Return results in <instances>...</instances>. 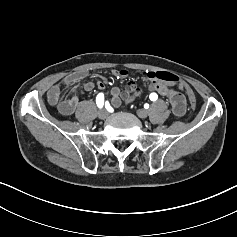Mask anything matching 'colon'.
<instances>
[{"label":"colon","instance_id":"colon-1","mask_svg":"<svg viewBox=\"0 0 237 237\" xmlns=\"http://www.w3.org/2000/svg\"><path fill=\"white\" fill-rule=\"evenodd\" d=\"M151 77L156 79V80H159V81L175 83L177 85H180L183 88V90H185V92L187 93L192 109L196 108L197 102H196V97H195L194 92L178 76H176L175 74L169 73V72H162V71H160V72H153V73H151ZM126 93L129 96L136 97V96H138L141 93V91H140L139 88H136L133 84H129L127 89H126Z\"/></svg>","mask_w":237,"mask_h":237}]
</instances>
